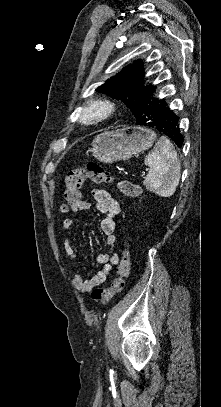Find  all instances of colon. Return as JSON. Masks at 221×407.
<instances>
[{
  "label": "colon",
  "instance_id": "colon-1",
  "mask_svg": "<svg viewBox=\"0 0 221 407\" xmlns=\"http://www.w3.org/2000/svg\"><path fill=\"white\" fill-rule=\"evenodd\" d=\"M96 184H112L113 175L100 163L88 162L85 167L70 170L65 177L62 210L65 211L77 205L82 198V186L86 180ZM120 191L128 198H137L141 193L139 184L122 180L118 182ZM131 268V254L127 247L122 251L117 264V277L108 288H96L92 292V299L98 304H107L111 298L123 290L125 281Z\"/></svg>",
  "mask_w": 221,
  "mask_h": 407
}]
</instances>
